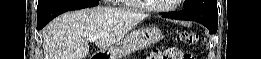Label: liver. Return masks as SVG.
<instances>
[{
  "label": "liver",
  "instance_id": "liver-1",
  "mask_svg": "<svg viewBox=\"0 0 261 59\" xmlns=\"http://www.w3.org/2000/svg\"><path fill=\"white\" fill-rule=\"evenodd\" d=\"M146 15L117 8L97 6L66 12L43 30L45 59H85L89 37L106 49L120 42Z\"/></svg>",
  "mask_w": 261,
  "mask_h": 59
}]
</instances>
